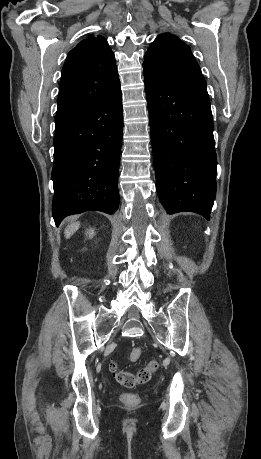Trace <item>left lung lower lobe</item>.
<instances>
[{"label": "left lung lower lobe", "mask_w": 261, "mask_h": 459, "mask_svg": "<svg viewBox=\"0 0 261 459\" xmlns=\"http://www.w3.org/2000/svg\"><path fill=\"white\" fill-rule=\"evenodd\" d=\"M156 189L167 213L207 220L216 195L217 158L206 83L181 82L143 68Z\"/></svg>", "instance_id": "left-lung-lower-lobe-1"}]
</instances>
